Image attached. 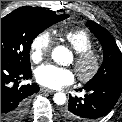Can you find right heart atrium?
Wrapping results in <instances>:
<instances>
[{
	"mask_svg": "<svg viewBox=\"0 0 122 122\" xmlns=\"http://www.w3.org/2000/svg\"><path fill=\"white\" fill-rule=\"evenodd\" d=\"M53 39L48 31L39 33L31 42L30 56L33 62L42 61L51 51Z\"/></svg>",
	"mask_w": 122,
	"mask_h": 122,
	"instance_id": "d8ad5b80",
	"label": "right heart atrium"
}]
</instances>
